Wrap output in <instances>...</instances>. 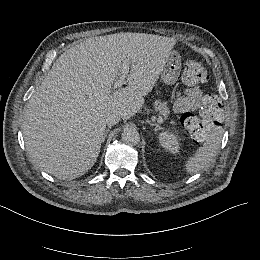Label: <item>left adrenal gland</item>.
<instances>
[{"instance_id":"a2214340","label":"left adrenal gland","mask_w":260,"mask_h":260,"mask_svg":"<svg viewBox=\"0 0 260 260\" xmlns=\"http://www.w3.org/2000/svg\"><path fill=\"white\" fill-rule=\"evenodd\" d=\"M149 125L155 126V132H158L159 130H163V128L159 124L152 123L149 121Z\"/></svg>"}]
</instances>
